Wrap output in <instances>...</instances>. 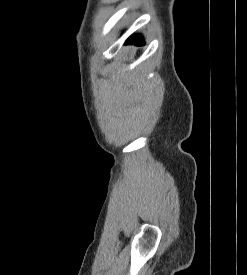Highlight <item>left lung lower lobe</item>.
<instances>
[{
    "label": "left lung lower lobe",
    "instance_id": "obj_1",
    "mask_svg": "<svg viewBox=\"0 0 247 275\" xmlns=\"http://www.w3.org/2000/svg\"><path fill=\"white\" fill-rule=\"evenodd\" d=\"M126 42L128 44L133 43L138 46H141L144 44V40L139 35H134L133 37L128 38Z\"/></svg>",
    "mask_w": 247,
    "mask_h": 275
}]
</instances>
